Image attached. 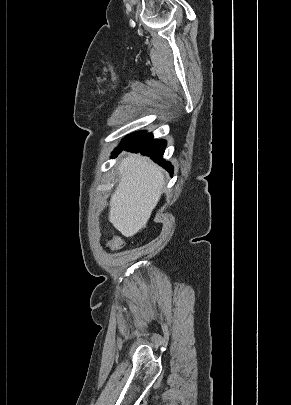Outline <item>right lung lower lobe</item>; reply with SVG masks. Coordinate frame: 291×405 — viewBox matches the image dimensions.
<instances>
[{
	"mask_svg": "<svg viewBox=\"0 0 291 405\" xmlns=\"http://www.w3.org/2000/svg\"><path fill=\"white\" fill-rule=\"evenodd\" d=\"M166 147V141L163 139H153V135L143 134L133 142L121 147L116 154L120 153L122 150L131 151V152H140L142 155H147L153 161L159 163L163 166L168 172L173 173V166L163 159L164 149Z\"/></svg>",
	"mask_w": 291,
	"mask_h": 405,
	"instance_id": "obj_1",
	"label": "right lung lower lobe"
}]
</instances>
